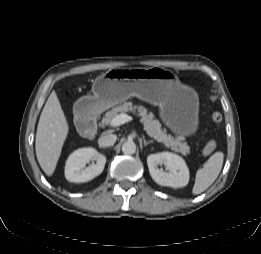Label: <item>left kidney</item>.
I'll return each mask as SVG.
<instances>
[{
  "label": "left kidney",
  "mask_w": 261,
  "mask_h": 254,
  "mask_svg": "<svg viewBox=\"0 0 261 254\" xmlns=\"http://www.w3.org/2000/svg\"><path fill=\"white\" fill-rule=\"evenodd\" d=\"M147 165L152 179L161 186L181 188L189 182V169L179 155L170 152L150 154ZM158 165H165L168 172L159 169Z\"/></svg>",
  "instance_id": "left-kidney-1"
}]
</instances>
